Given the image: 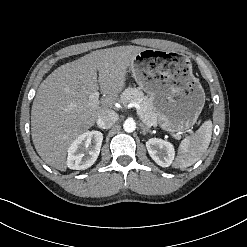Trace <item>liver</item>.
<instances>
[{"mask_svg":"<svg viewBox=\"0 0 247 247\" xmlns=\"http://www.w3.org/2000/svg\"><path fill=\"white\" fill-rule=\"evenodd\" d=\"M145 47L119 46L93 51L54 70L39 86L31 109L35 149L46 164L66 171L71 143L112 110L126 84L127 69ZM106 95L92 104L89 96Z\"/></svg>","mask_w":247,"mask_h":247,"instance_id":"obj_1","label":"liver"}]
</instances>
